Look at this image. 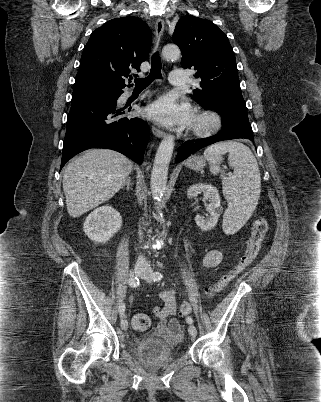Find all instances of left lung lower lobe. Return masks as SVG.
<instances>
[{
	"instance_id": "1",
	"label": "left lung lower lobe",
	"mask_w": 321,
	"mask_h": 402,
	"mask_svg": "<svg viewBox=\"0 0 321 402\" xmlns=\"http://www.w3.org/2000/svg\"><path fill=\"white\" fill-rule=\"evenodd\" d=\"M222 116V131L217 135L188 140L177 154L176 161L181 162L192 153L213 143L234 138H245L254 143L253 131L249 123L245 101L225 102L214 108Z\"/></svg>"
}]
</instances>
